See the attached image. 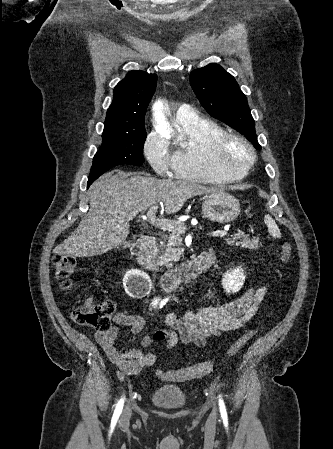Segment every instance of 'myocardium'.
<instances>
[{"instance_id": "f54148a6", "label": "myocardium", "mask_w": 333, "mask_h": 449, "mask_svg": "<svg viewBox=\"0 0 333 449\" xmlns=\"http://www.w3.org/2000/svg\"><path fill=\"white\" fill-rule=\"evenodd\" d=\"M238 149L243 151V157H235ZM209 152L213 169L226 176H246L257 161L254 146L236 133L224 132L216 137L210 144Z\"/></svg>"}]
</instances>
